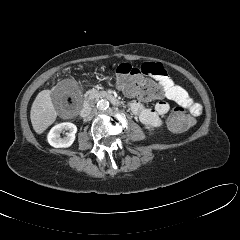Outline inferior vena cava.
Returning a JSON list of instances; mask_svg holds the SVG:
<instances>
[{"label":"inferior vena cava","instance_id":"1","mask_svg":"<svg viewBox=\"0 0 240 240\" xmlns=\"http://www.w3.org/2000/svg\"><path fill=\"white\" fill-rule=\"evenodd\" d=\"M95 111H92L91 108L85 109L83 111V117L87 120H90L93 118V116L95 115Z\"/></svg>","mask_w":240,"mask_h":240}]
</instances>
